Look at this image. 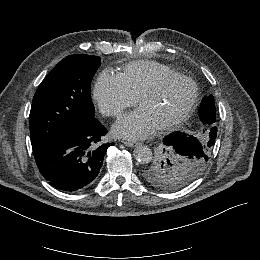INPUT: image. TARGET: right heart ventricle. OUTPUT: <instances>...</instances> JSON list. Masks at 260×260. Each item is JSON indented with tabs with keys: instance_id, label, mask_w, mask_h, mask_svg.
<instances>
[{
	"instance_id": "e07e8e85",
	"label": "right heart ventricle",
	"mask_w": 260,
	"mask_h": 260,
	"mask_svg": "<svg viewBox=\"0 0 260 260\" xmlns=\"http://www.w3.org/2000/svg\"><path fill=\"white\" fill-rule=\"evenodd\" d=\"M177 73L175 69L165 64L155 61H141L129 64L120 73V78L128 92L137 98L138 94L156 78Z\"/></svg>"
}]
</instances>
